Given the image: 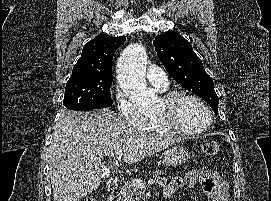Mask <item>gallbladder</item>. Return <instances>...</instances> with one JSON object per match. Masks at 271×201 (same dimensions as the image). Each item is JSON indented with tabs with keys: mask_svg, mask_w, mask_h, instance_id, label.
<instances>
[{
	"mask_svg": "<svg viewBox=\"0 0 271 201\" xmlns=\"http://www.w3.org/2000/svg\"><path fill=\"white\" fill-rule=\"evenodd\" d=\"M104 176L108 177V172H107L106 169H105V174H104Z\"/></svg>",
	"mask_w": 271,
	"mask_h": 201,
	"instance_id": "obj_1",
	"label": "gallbladder"
}]
</instances>
